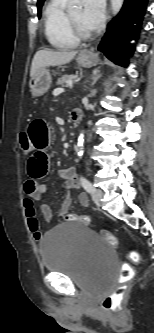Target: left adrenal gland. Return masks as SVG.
Instances as JSON below:
<instances>
[{
    "mask_svg": "<svg viewBox=\"0 0 154 333\" xmlns=\"http://www.w3.org/2000/svg\"><path fill=\"white\" fill-rule=\"evenodd\" d=\"M101 77L100 74H96L94 77H93V82H92V86L96 83V81Z\"/></svg>",
    "mask_w": 154,
    "mask_h": 333,
    "instance_id": "left-adrenal-gland-1",
    "label": "left adrenal gland"
}]
</instances>
